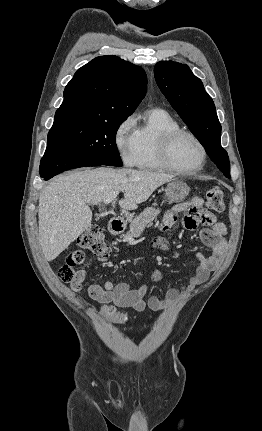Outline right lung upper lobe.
<instances>
[{"mask_svg": "<svg viewBox=\"0 0 262 431\" xmlns=\"http://www.w3.org/2000/svg\"><path fill=\"white\" fill-rule=\"evenodd\" d=\"M146 90L147 77L141 67L113 55L97 57L78 69L65 87L53 125L127 118Z\"/></svg>", "mask_w": 262, "mask_h": 431, "instance_id": "cb5924a9", "label": "right lung upper lobe"}]
</instances>
